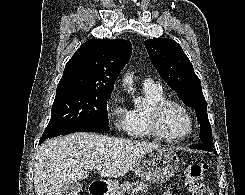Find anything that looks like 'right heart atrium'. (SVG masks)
<instances>
[{
	"label": "right heart atrium",
	"instance_id": "d8ad5b80",
	"mask_svg": "<svg viewBox=\"0 0 245 195\" xmlns=\"http://www.w3.org/2000/svg\"><path fill=\"white\" fill-rule=\"evenodd\" d=\"M106 113L109 120L119 133H129L130 130V110L126 107L124 99L119 91L114 90L106 100Z\"/></svg>",
	"mask_w": 245,
	"mask_h": 195
}]
</instances>
